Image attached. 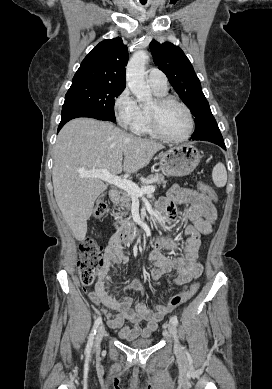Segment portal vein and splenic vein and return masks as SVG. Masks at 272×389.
<instances>
[{"label":"portal vein and splenic vein","instance_id":"obj_1","mask_svg":"<svg viewBox=\"0 0 272 389\" xmlns=\"http://www.w3.org/2000/svg\"><path fill=\"white\" fill-rule=\"evenodd\" d=\"M81 176L87 178H99L109 184H112L124 191H126L131 197L138 198L144 194H151L155 191L153 185L138 187L134 182L123 179L117 175L110 173L108 170H93L88 172H80Z\"/></svg>","mask_w":272,"mask_h":389}]
</instances>
